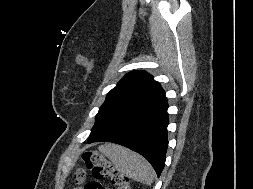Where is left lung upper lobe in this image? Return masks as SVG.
I'll list each match as a JSON object with an SVG mask.
<instances>
[{"label": "left lung upper lobe", "mask_w": 253, "mask_h": 189, "mask_svg": "<svg viewBox=\"0 0 253 189\" xmlns=\"http://www.w3.org/2000/svg\"><path fill=\"white\" fill-rule=\"evenodd\" d=\"M165 98L161 85L144 71L127 73L106 96L90 136L113 130Z\"/></svg>", "instance_id": "obj_1"}]
</instances>
